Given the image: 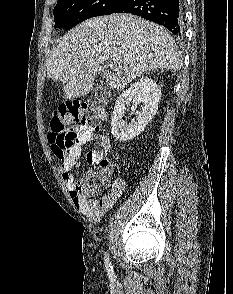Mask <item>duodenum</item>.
Here are the masks:
<instances>
[{
    "mask_svg": "<svg viewBox=\"0 0 233 294\" xmlns=\"http://www.w3.org/2000/svg\"><path fill=\"white\" fill-rule=\"evenodd\" d=\"M94 112L98 118H100V119L106 118V112H105L104 108H102L100 106H96V107H94Z\"/></svg>",
    "mask_w": 233,
    "mask_h": 294,
    "instance_id": "410a0bca",
    "label": "duodenum"
}]
</instances>
